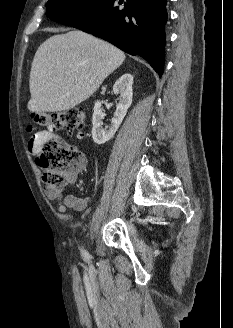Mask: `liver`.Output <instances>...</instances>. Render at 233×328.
Masks as SVG:
<instances>
[{
    "instance_id": "obj_1",
    "label": "liver",
    "mask_w": 233,
    "mask_h": 328,
    "mask_svg": "<svg viewBox=\"0 0 233 328\" xmlns=\"http://www.w3.org/2000/svg\"><path fill=\"white\" fill-rule=\"evenodd\" d=\"M124 60L120 49L83 31L50 37L39 46L31 65L28 109L39 113L75 107Z\"/></svg>"
}]
</instances>
